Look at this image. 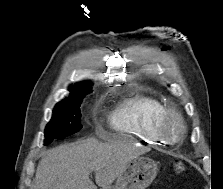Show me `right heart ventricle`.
Listing matches in <instances>:
<instances>
[{
    "label": "right heart ventricle",
    "mask_w": 223,
    "mask_h": 189,
    "mask_svg": "<svg viewBox=\"0 0 223 189\" xmlns=\"http://www.w3.org/2000/svg\"><path fill=\"white\" fill-rule=\"evenodd\" d=\"M166 109L154 96L129 95L112 110L109 123L116 132L131 135L149 145H163L165 141L157 124Z\"/></svg>",
    "instance_id": "right-heart-ventricle-1"
}]
</instances>
